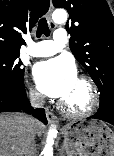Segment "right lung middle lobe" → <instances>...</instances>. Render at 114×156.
<instances>
[{
	"mask_svg": "<svg viewBox=\"0 0 114 156\" xmlns=\"http://www.w3.org/2000/svg\"><path fill=\"white\" fill-rule=\"evenodd\" d=\"M19 53H0V91L15 92L24 86V69Z\"/></svg>",
	"mask_w": 114,
	"mask_h": 156,
	"instance_id": "1",
	"label": "right lung middle lobe"
}]
</instances>
